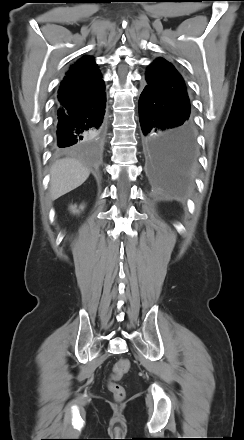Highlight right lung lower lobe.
<instances>
[{
	"label": "right lung lower lobe",
	"instance_id": "98d812e1",
	"mask_svg": "<svg viewBox=\"0 0 244 440\" xmlns=\"http://www.w3.org/2000/svg\"><path fill=\"white\" fill-rule=\"evenodd\" d=\"M105 92L83 103L61 107L55 117L56 147H76L99 139L105 127Z\"/></svg>",
	"mask_w": 244,
	"mask_h": 440
}]
</instances>
